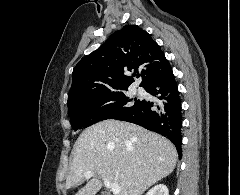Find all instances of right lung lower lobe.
<instances>
[{
  "mask_svg": "<svg viewBox=\"0 0 240 195\" xmlns=\"http://www.w3.org/2000/svg\"><path fill=\"white\" fill-rule=\"evenodd\" d=\"M144 89L155 99L152 101L142 100L136 107L114 119L138 124L167 137L175 145L179 157H181V101L172 69Z\"/></svg>",
  "mask_w": 240,
  "mask_h": 195,
  "instance_id": "1",
  "label": "right lung lower lobe"
}]
</instances>
